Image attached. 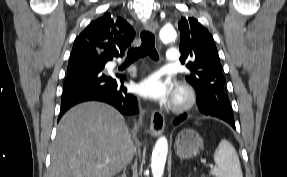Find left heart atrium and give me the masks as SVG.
Returning <instances> with one entry per match:
<instances>
[{"mask_svg": "<svg viewBox=\"0 0 287 177\" xmlns=\"http://www.w3.org/2000/svg\"><path fill=\"white\" fill-rule=\"evenodd\" d=\"M137 91L145 98L164 101L174 93V84L170 79H163L160 73H152L137 85Z\"/></svg>", "mask_w": 287, "mask_h": 177, "instance_id": "39dd6f15", "label": "left heart atrium"}]
</instances>
